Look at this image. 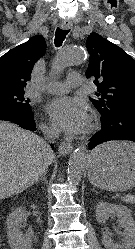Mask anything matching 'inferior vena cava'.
<instances>
[{
	"label": "inferior vena cava",
	"mask_w": 135,
	"mask_h": 249,
	"mask_svg": "<svg viewBox=\"0 0 135 249\" xmlns=\"http://www.w3.org/2000/svg\"><path fill=\"white\" fill-rule=\"evenodd\" d=\"M47 142L46 145L50 148L49 146V142H54L58 137H59V130L55 129V128H48L43 126L41 128Z\"/></svg>",
	"instance_id": "1"
}]
</instances>
